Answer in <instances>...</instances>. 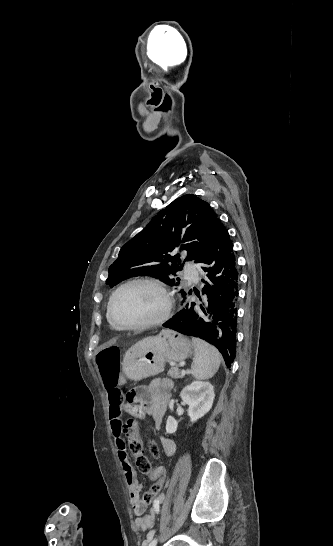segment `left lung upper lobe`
Listing matches in <instances>:
<instances>
[{
	"instance_id": "left-lung-upper-lobe-1",
	"label": "left lung upper lobe",
	"mask_w": 333,
	"mask_h": 546,
	"mask_svg": "<svg viewBox=\"0 0 333 546\" xmlns=\"http://www.w3.org/2000/svg\"><path fill=\"white\" fill-rule=\"evenodd\" d=\"M217 220L209 204L197 196L177 198L121 248L106 283L113 287L125 279L148 275L177 286L172 276L183 267L180 256L196 262L208 247Z\"/></svg>"
}]
</instances>
